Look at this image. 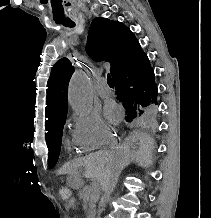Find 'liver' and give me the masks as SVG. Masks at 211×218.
Returning <instances> with one entry per match:
<instances>
[{"instance_id":"1","label":"liver","mask_w":211,"mask_h":218,"mask_svg":"<svg viewBox=\"0 0 211 218\" xmlns=\"http://www.w3.org/2000/svg\"><path fill=\"white\" fill-rule=\"evenodd\" d=\"M133 142H139V150H131ZM152 150V140L136 132L129 138H125V142L122 146H119L116 152L103 150V152H96V154H89L85 158H80L79 162L80 166L85 168L86 178H95L101 184L112 174V170L117 164L118 168H122V170L125 166H129L130 162H135L138 166L147 168L152 162Z\"/></svg>"}]
</instances>
